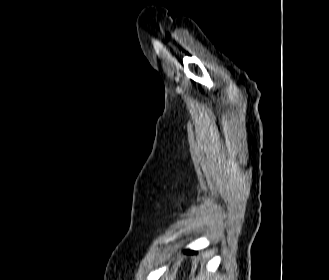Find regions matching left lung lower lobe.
I'll list each match as a JSON object with an SVG mask.
<instances>
[{
	"label": "left lung lower lobe",
	"instance_id": "left-lung-lower-lobe-1",
	"mask_svg": "<svg viewBox=\"0 0 329 280\" xmlns=\"http://www.w3.org/2000/svg\"><path fill=\"white\" fill-rule=\"evenodd\" d=\"M185 254H196L195 251H190V250H184L183 251Z\"/></svg>",
	"mask_w": 329,
	"mask_h": 280
}]
</instances>
